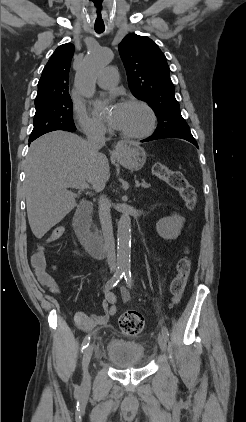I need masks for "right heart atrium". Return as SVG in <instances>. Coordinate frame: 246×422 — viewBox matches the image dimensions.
<instances>
[{"instance_id": "obj_1", "label": "right heart atrium", "mask_w": 246, "mask_h": 422, "mask_svg": "<svg viewBox=\"0 0 246 422\" xmlns=\"http://www.w3.org/2000/svg\"><path fill=\"white\" fill-rule=\"evenodd\" d=\"M74 117L82 132L88 137H101L106 134V127L92 118L84 108L76 106Z\"/></svg>"}]
</instances>
